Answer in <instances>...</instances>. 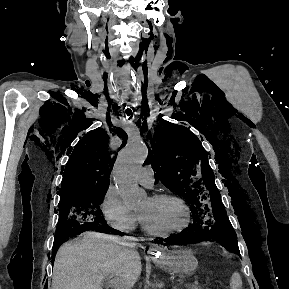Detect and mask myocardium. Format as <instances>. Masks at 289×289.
Wrapping results in <instances>:
<instances>
[{
    "label": "myocardium",
    "mask_w": 289,
    "mask_h": 289,
    "mask_svg": "<svg viewBox=\"0 0 289 289\" xmlns=\"http://www.w3.org/2000/svg\"><path fill=\"white\" fill-rule=\"evenodd\" d=\"M150 198L152 200H156V201H160V200H174V201H176L177 203L180 204V206L185 211L186 222L182 227H180L178 229L166 231V232H161V231H157V230L153 229L148 224V222L143 218V216L141 214H139V218L141 220L142 226L148 234H150L152 236H156V237H169L172 235L179 234V233L185 231L189 227V225L191 223V210H190V207L187 205V203L184 201V199H182L178 195H175L172 193H156V194L151 195Z\"/></svg>",
    "instance_id": "f54148a6"
}]
</instances>
